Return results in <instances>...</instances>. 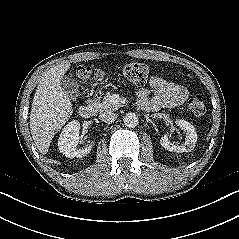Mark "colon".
<instances>
[{"mask_svg": "<svg viewBox=\"0 0 239 239\" xmlns=\"http://www.w3.org/2000/svg\"><path fill=\"white\" fill-rule=\"evenodd\" d=\"M76 76L81 80H96L101 77V72L87 66H80L75 71ZM150 74V66L145 62H131L124 66L123 76L134 85H142L146 82ZM190 111L197 115L205 112V101L199 94H192L187 99Z\"/></svg>", "mask_w": 239, "mask_h": 239, "instance_id": "5ec220e1", "label": "colon"}]
</instances>
